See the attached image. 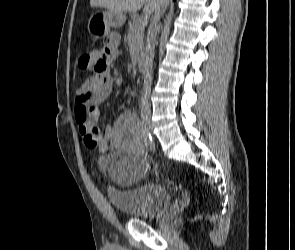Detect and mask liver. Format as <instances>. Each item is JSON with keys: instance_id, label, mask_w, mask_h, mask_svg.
Listing matches in <instances>:
<instances>
[{"instance_id": "obj_1", "label": "liver", "mask_w": 295, "mask_h": 250, "mask_svg": "<svg viewBox=\"0 0 295 250\" xmlns=\"http://www.w3.org/2000/svg\"><path fill=\"white\" fill-rule=\"evenodd\" d=\"M167 3L168 0H164V8ZM90 6L102 7L116 12H136L144 6V13L150 15L155 12L158 0H90Z\"/></svg>"}]
</instances>
